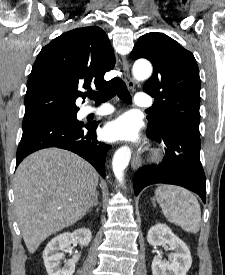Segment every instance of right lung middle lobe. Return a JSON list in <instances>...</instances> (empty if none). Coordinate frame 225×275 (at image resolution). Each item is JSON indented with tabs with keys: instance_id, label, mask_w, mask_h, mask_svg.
Wrapping results in <instances>:
<instances>
[{
	"instance_id": "right-lung-middle-lobe-1",
	"label": "right lung middle lobe",
	"mask_w": 225,
	"mask_h": 275,
	"mask_svg": "<svg viewBox=\"0 0 225 275\" xmlns=\"http://www.w3.org/2000/svg\"><path fill=\"white\" fill-rule=\"evenodd\" d=\"M77 111L78 110H56V111L47 112L46 114L56 115L63 119L79 123V121L76 119Z\"/></svg>"
}]
</instances>
